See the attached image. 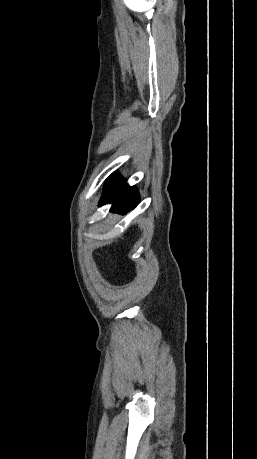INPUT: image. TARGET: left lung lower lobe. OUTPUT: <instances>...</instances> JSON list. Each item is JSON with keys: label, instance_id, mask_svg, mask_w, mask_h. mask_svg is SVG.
<instances>
[{"label": "left lung lower lobe", "instance_id": "left-lung-lower-lobe-1", "mask_svg": "<svg viewBox=\"0 0 257 459\" xmlns=\"http://www.w3.org/2000/svg\"><path fill=\"white\" fill-rule=\"evenodd\" d=\"M138 200L137 190L134 187L127 186L120 176L114 174L105 183L100 206L107 202H112V212L125 213L135 207Z\"/></svg>", "mask_w": 257, "mask_h": 459}]
</instances>
